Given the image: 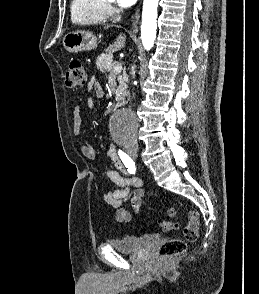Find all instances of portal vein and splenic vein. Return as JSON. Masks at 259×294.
Returning <instances> with one entry per match:
<instances>
[{"label": "portal vein and splenic vein", "mask_w": 259, "mask_h": 294, "mask_svg": "<svg viewBox=\"0 0 259 294\" xmlns=\"http://www.w3.org/2000/svg\"><path fill=\"white\" fill-rule=\"evenodd\" d=\"M114 70H115L116 72H121V70H122V65H121L120 63H118V64L114 67Z\"/></svg>", "instance_id": "obj_1"}]
</instances>
